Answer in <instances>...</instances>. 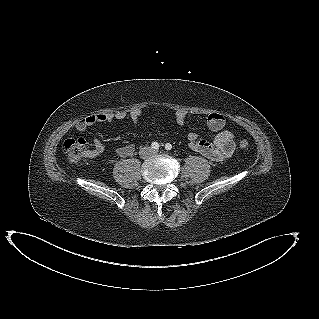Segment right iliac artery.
I'll return each mask as SVG.
<instances>
[{
    "label": "right iliac artery",
    "instance_id": "right-iliac-artery-1",
    "mask_svg": "<svg viewBox=\"0 0 319 319\" xmlns=\"http://www.w3.org/2000/svg\"><path fill=\"white\" fill-rule=\"evenodd\" d=\"M151 147L153 148V149H159V144L157 143V142H153L152 144H151Z\"/></svg>",
    "mask_w": 319,
    "mask_h": 319
}]
</instances>
